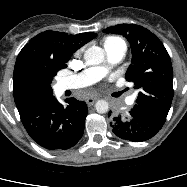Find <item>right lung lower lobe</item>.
I'll return each mask as SVG.
<instances>
[{
  "label": "right lung lower lobe",
  "instance_id": "obj_1",
  "mask_svg": "<svg viewBox=\"0 0 187 187\" xmlns=\"http://www.w3.org/2000/svg\"><path fill=\"white\" fill-rule=\"evenodd\" d=\"M62 105L54 96L19 112L30 137L49 150H66L74 146L84 132L87 105L67 98Z\"/></svg>",
  "mask_w": 187,
  "mask_h": 187
}]
</instances>
